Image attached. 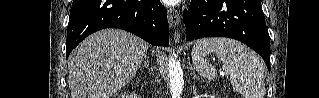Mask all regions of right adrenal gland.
Returning <instances> with one entry per match:
<instances>
[{
  "label": "right adrenal gland",
  "instance_id": "right-adrenal-gland-1",
  "mask_svg": "<svg viewBox=\"0 0 319 98\" xmlns=\"http://www.w3.org/2000/svg\"><path fill=\"white\" fill-rule=\"evenodd\" d=\"M144 68L149 69V58L147 54L144 56L143 66L140 68V70H143Z\"/></svg>",
  "mask_w": 319,
  "mask_h": 98
}]
</instances>
